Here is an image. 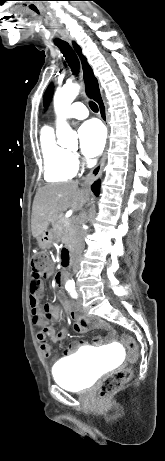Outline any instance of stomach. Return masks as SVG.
I'll return each instance as SVG.
<instances>
[{
    "instance_id": "1",
    "label": "stomach",
    "mask_w": 165,
    "mask_h": 461,
    "mask_svg": "<svg viewBox=\"0 0 165 461\" xmlns=\"http://www.w3.org/2000/svg\"><path fill=\"white\" fill-rule=\"evenodd\" d=\"M38 245L41 249H49L52 244L53 240V232L52 230H45L37 239Z\"/></svg>"
}]
</instances>
